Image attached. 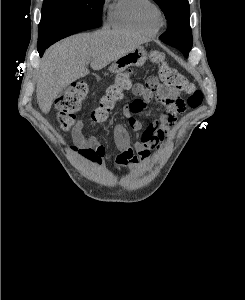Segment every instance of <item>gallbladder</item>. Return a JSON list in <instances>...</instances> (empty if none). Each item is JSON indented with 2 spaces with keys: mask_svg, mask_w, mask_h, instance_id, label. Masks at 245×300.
<instances>
[{
  "mask_svg": "<svg viewBox=\"0 0 245 300\" xmlns=\"http://www.w3.org/2000/svg\"><path fill=\"white\" fill-rule=\"evenodd\" d=\"M68 91H69L68 87H65V88L60 92V94H61V93H67Z\"/></svg>",
  "mask_w": 245,
  "mask_h": 300,
  "instance_id": "bac80fb5",
  "label": "gallbladder"
}]
</instances>
